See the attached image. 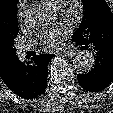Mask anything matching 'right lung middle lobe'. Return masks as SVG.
Returning <instances> with one entry per match:
<instances>
[{
    "instance_id": "1",
    "label": "right lung middle lobe",
    "mask_w": 113,
    "mask_h": 113,
    "mask_svg": "<svg viewBox=\"0 0 113 113\" xmlns=\"http://www.w3.org/2000/svg\"><path fill=\"white\" fill-rule=\"evenodd\" d=\"M17 34H18V29L16 30V36H17Z\"/></svg>"
}]
</instances>
